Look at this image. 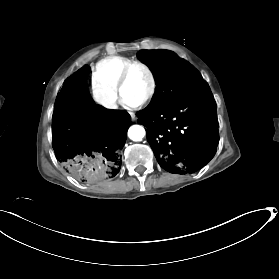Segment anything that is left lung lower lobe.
Wrapping results in <instances>:
<instances>
[{"label": "left lung lower lobe", "instance_id": "0a47b994", "mask_svg": "<svg viewBox=\"0 0 279 279\" xmlns=\"http://www.w3.org/2000/svg\"><path fill=\"white\" fill-rule=\"evenodd\" d=\"M137 116L158 163L170 173L196 172L216 153V103L207 83L159 111H139Z\"/></svg>", "mask_w": 279, "mask_h": 279}]
</instances>
